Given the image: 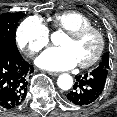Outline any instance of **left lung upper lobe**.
Returning a JSON list of instances; mask_svg holds the SVG:
<instances>
[{"instance_id": "obj_1", "label": "left lung upper lobe", "mask_w": 117, "mask_h": 117, "mask_svg": "<svg viewBox=\"0 0 117 117\" xmlns=\"http://www.w3.org/2000/svg\"><path fill=\"white\" fill-rule=\"evenodd\" d=\"M98 67H103L106 69H109V53H106L103 58L102 61L99 63Z\"/></svg>"}]
</instances>
